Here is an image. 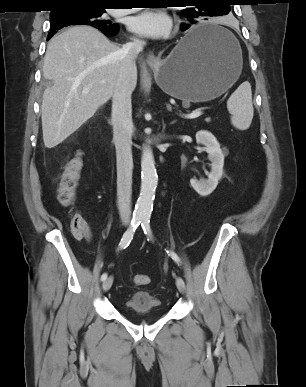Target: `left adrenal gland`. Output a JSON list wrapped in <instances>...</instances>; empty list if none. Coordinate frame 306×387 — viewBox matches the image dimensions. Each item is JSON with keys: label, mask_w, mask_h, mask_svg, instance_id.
Returning a JSON list of instances; mask_svg holds the SVG:
<instances>
[{"label": "left adrenal gland", "mask_w": 306, "mask_h": 387, "mask_svg": "<svg viewBox=\"0 0 306 387\" xmlns=\"http://www.w3.org/2000/svg\"><path fill=\"white\" fill-rule=\"evenodd\" d=\"M174 123H176V120L172 121L170 124L172 125V124H174Z\"/></svg>", "instance_id": "left-adrenal-gland-1"}]
</instances>
